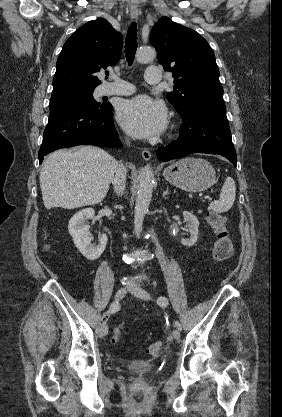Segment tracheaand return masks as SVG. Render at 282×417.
I'll use <instances>...</instances> for the list:
<instances>
[{"label":"trachea","mask_w":282,"mask_h":417,"mask_svg":"<svg viewBox=\"0 0 282 417\" xmlns=\"http://www.w3.org/2000/svg\"><path fill=\"white\" fill-rule=\"evenodd\" d=\"M137 50V24L133 22L127 32L125 40V56L129 65H132Z\"/></svg>","instance_id":"trachea-1"}]
</instances>
